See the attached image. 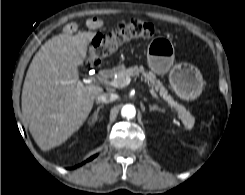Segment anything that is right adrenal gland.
<instances>
[{
  "instance_id": "right-adrenal-gland-1",
  "label": "right adrenal gland",
  "mask_w": 245,
  "mask_h": 195,
  "mask_svg": "<svg viewBox=\"0 0 245 195\" xmlns=\"http://www.w3.org/2000/svg\"><path fill=\"white\" fill-rule=\"evenodd\" d=\"M103 107H104L103 104L97 107V110L93 113V115H92V117H91V122H90V124H93V123H95V122L98 120V114H99V111H100V109L103 108Z\"/></svg>"
}]
</instances>
